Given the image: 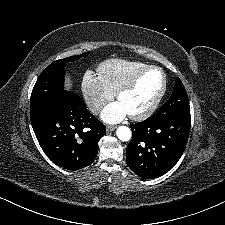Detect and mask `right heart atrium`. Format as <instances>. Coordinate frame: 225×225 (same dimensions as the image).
<instances>
[{"label":"right heart atrium","mask_w":225,"mask_h":225,"mask_svg":"<svg viewBox=\"0 0 225 225\" xmlns=\"http://www.w3.org/2000/svg\"><path fill=\"white\" fill-rule=\"evenodd\" d=\"M81 87L85 100L92 112L100 111L114 96L101 78L92 72L84 74Z\"/></svg>","instance_id":"1"}]
</instances>
